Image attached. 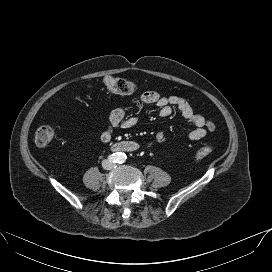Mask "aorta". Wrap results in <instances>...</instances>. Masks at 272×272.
<instances>
[{
	"mask_svg": "<svg viewBox=\"0 0 272 272\" xmlns=\"http://www.w3.org/2000/svg\"><path fill=\"white\" fill-rule=\"evenodd\" d=\"M126 158H127V156H126V154L123 153V152H118V153H116V155H115V160H116V162H118V163H123V162H125Z\"/></svg>",
	"mask_w": 272,
	"mask_h": 272,
	"instance_id": "aorta-1",
	"label": "aorta"
}]
</instances>
